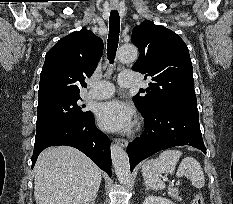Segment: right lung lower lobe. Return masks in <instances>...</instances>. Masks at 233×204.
Listing matches in <instances>:
<instances>
[{
    "mask_svg": "<svg viewBox=\"0 0 233 204\" xmlns=\"http://www.w3.org/2000/svg\"><path fill=\"white\" fill-rule=\"evenodd\" d=\"M60 145L79 149L111 176L110 140L95 126L92 113L81 122L62 126L36 137L32 155V168L38 155L45 148Z\"/></svg>",
    "mask_w": 233,
    "mask_h": 204,
    "instance_id": "98d812e1",
    "label": "right lung lower lobe"
}]
</instances>
